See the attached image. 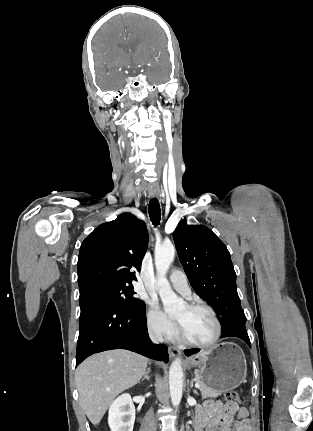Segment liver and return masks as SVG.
Masks as SVG:
<instances>
[{
  "label": "liver",
  "instance_id": "liver-1",
  "mask_svg": "<svg viewBox=\"0 0 313 431\" xmlns=\"http://www.w3.org/2000/svg\"><path fill=\"white\" fill-rule=\"evenodd\" d=\"M148 359L127 350L95 354L76 370L79 402L90 422L98 425L108 406L123 391L136 385Z\"/></svg>",
  "mask_w": 313,
  "mask_h": 431
}]
</instances>
